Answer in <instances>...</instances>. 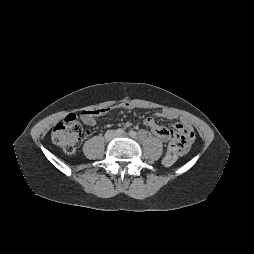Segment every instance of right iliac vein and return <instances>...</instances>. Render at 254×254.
<instances>
[{
    "instance_id": "63e3f726",
    "label": "right iliac vein",
    "mask_w": 254,
    "mask_h": 254,
    "mask_svg": "<svg viewBox=\"0 0 254 254\" xmlns=\"http://www.w3.org/2000/svg\"><path fill=\"white\" fill-rule=\"evenodd\" d=\"M116 136V133L114 131H108L106 134L107 140H112Z\"/></svg>"
}]
</instances>
